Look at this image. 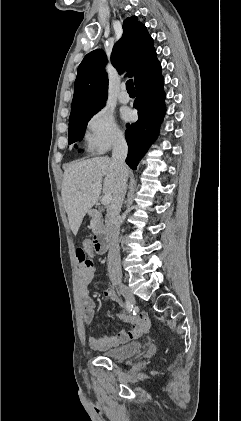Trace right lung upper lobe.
<instances>
[{
	"mask_svg": "<svg viewBox=\"0 0 241 421\" xmlns=\"http://www.w3.org/2000/svg\"><path fill=\"white\" fill-rule=\"evenodd\" d=\"M123 35L114 45L111 62L120 72H128L134 82L156 60L153 39L137 17L127 18ZM106 56L102 50L87 54L77 70L74 96L69 119L97 113L107 99L108 79L105 72Z\"/></svg>",
	"mask_w": 241,
	"mask_h": 421,
	"instance_id": "obj_1",
	"label": "right lung upper lobe"
}]
</instances>
